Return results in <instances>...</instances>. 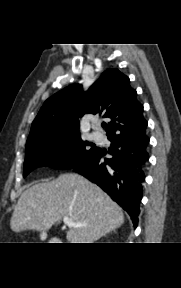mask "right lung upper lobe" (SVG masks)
I'll return each instance as SVG.
<instances>
[{
    "label": "right lung upper lobe",
    "instance_id": "1",
    "mask_svg": "<svg viewBox=\"0 0 181 288\" xmlns=\"http://www.w3.org/2000/svg\"><path fill=\"white\" fill-rule=\"evenodd\" d=\"M136 95L127 76L107 69L87 92L82 85L73 84L47 99L32 123L28 140L54 132L79 133V118L84 114L110 118L107 136L140 132L147 122Z\"/></svg>",
    "mask_w": 181,
    "mask_h": 288
}]
</instances>
